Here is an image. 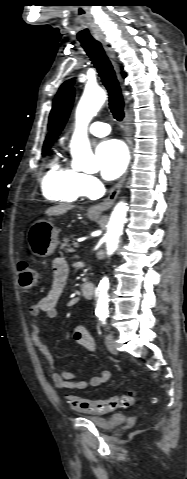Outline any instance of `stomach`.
Returning a JSON list of instances; mask_svg holds the SVG:
<instances>
[{"label": "stomach", "instance_id": "1", "mask_svg": "<svg viewBox=\"0 0 187 479\" xmlns=\"http://www.w3.org/2000/svg\"><path fill=\"white\" fill-rule=\"evenodd\" d=\"M91 219L98 216L89 215ZM29 248L38 257L50 256L58 245V230L50 220L36 221L27 234Z\"/></svg>", "mask_w": 187, "mask_h": 479}]
</instances>
